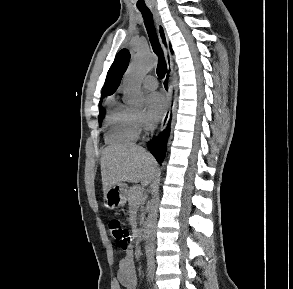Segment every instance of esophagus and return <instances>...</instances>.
<instances>
[{"label": "esophagus", "instance_id": "obj_1", "mask_svg": "<svg viewBox=\"0 0 293 289\" xmlns=\"http://www.w3.org/2000/svg\"><path fill=\"white\" fill-rule=\"evenodd\" d=\"M154 16H155V24H156V28L158 32L159 41L163 49L166 64H167V71L163 81V89L167 98V110L163 117L161 127H160V132H163L168 124V121L171 115V107H172L171 86H172V73H173L174 64H173V57L171 55L170 48H169V40H168L166 30L157 12H154Z\"/></svg>", "mask_w": 293, "mask_h": 289}]
</instances>
